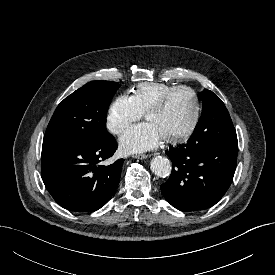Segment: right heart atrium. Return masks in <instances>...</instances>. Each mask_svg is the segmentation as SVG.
<instances>
[{"mask_svg":"<svg viewBox=\"0 0 275 275\" xmlns=\"http://www.w3.org/2000/svg\"><path fill=\"white\" fill-rule=\"evenodd\" d=\"M141 117L142 113L135 106L131 96L121 94L112 101L108 109L106 125L111 133L120 135Z\"/></svg>","mask_w":275,"mask_h":275,"instance_id":"1","label":"right heart atrium"}]
</instances>
